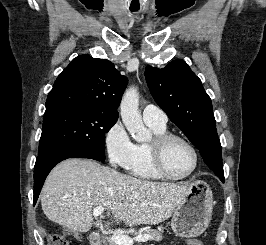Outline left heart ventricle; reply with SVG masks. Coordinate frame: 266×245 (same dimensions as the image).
Segmentation results:
<instances>
[{"label":"left heart ventricle","instance_id":"b2bd125f","mask_svg":"<svg viewBox=\"0 0 266 245\" xmlns=\"http://www.w3.org/2000/svg\"><path fill=\"white\" fill-rule=\"evenodd\" d=\"M166 171L173 177L187 175L194 165V154L190 147L180 140L170 141L163 153Z\"/></svg>","mask_w":266,"mask_h":245}]
</instances>
